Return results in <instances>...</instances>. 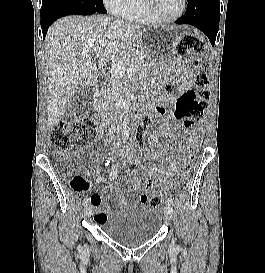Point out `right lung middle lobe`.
<instances>
[{
    "instance_id": "right-lung-middle-lobe-1",
    "label": "right lung middle lobe",
    "mask_w": 265,
    "mask_h": 273,
    "mask_svg": "<svg viewBox=\"0 0 265 273\" xmlns=\"http://www.w3.org/2000/svg\"><path fill=\"white\" fill-rule=\"evenodd\" d=\"M52 5H66L78 9H92L100 13H107L103 0H43L41 8Z\"/></svg>"
}]
</instances>
